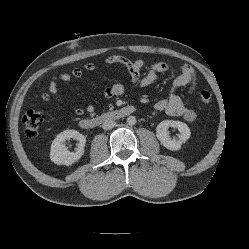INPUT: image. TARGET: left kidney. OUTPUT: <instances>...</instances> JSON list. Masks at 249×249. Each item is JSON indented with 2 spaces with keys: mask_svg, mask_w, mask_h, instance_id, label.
I'll return each mask as SVG.
<instances>
[{
  "mask_svg": "<svg viewBox=\"0 0 249 249\" xmlns=\"http://www.w3.org/2000/svg\"><path fill=\"white\" fill-rule=\"evenodd\" d=\"M177 128L180 132L178 138H170L168 128ZM191 135L187 124L181 121L164 120L160 122L156 128V136L160 143L167 149L176 151L179 150Z\"/></svg>",
  "mask_w": 249,
  "mask_h": 249,
  "instance_id": "5707ae66",
  "label": "left kidney"
}]
</instances>
